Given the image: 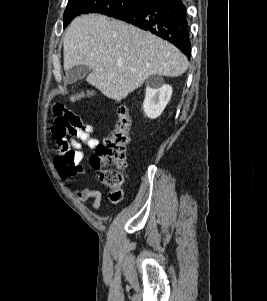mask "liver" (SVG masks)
Wrapping results in <instances>:
<instances>
[{"mask_svg": "<svg viewBox=\"0 0 267 301\" xmlns=\"http://www.w3.org/2000/svg\"><path fill=\"white\" fill-rule=\"evenodd\" d=\"M64 70L92 69L86 81L110 99L121 101L152 75L178 77L186 56L171 43L104 15L76 17L63 41Z\"/></svg>", "mask_w": 267, "mask_h": 301, "instance_id": "6515ba94", "label": "liver"}]
</instances>
